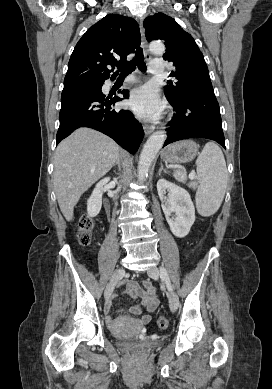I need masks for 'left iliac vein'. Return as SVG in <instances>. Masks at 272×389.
<instances>
[{
    "mask_svg": "<svg viewBox=\"0 0 272 389\" xmlns=\"http://www.w3.org/2000/svg\"><path fill=\"white\" fill-rule=\"evenodd\" d=\"M148 275L151 278H153V279H158L159 276H160V271H159L158 267H156V266L151 267L148 270ZM167 295H168V298H169L170 309H171L172 312H175L177 310L178 306H179L178 296L172 290L171 291L169 290Z\"/></svg>",
    "mask_w": 272,
    "mask_h": 389,
    "instance_id": "1",
    "label": "left iliac vein"
}]
</instances>
